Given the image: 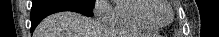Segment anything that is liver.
<instances>
[{
	"instance_id": "6515ba94",
	"label": "liver",
	"mask_w": 219,
	"mask_h": 37,
	"mask_svg": "<svg viewBox=\"0 0 219 37\" xmlns=\"http://www.w3.org/2000/svg\"><path fill=\"white\" fill-rule=\"evenodd\" d=\"M34 37H101V25L80 13L64 11L46 17Z\"/></svg>"
}]
</instances>
